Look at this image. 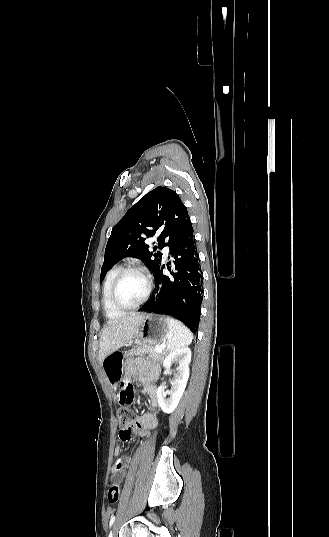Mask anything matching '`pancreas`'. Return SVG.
Instances as JSON below:
<instances>
[{
  "label": "pancreas",
  "mask_w": 329,
  "mask_h": 537,
  "mask_svg": "<svg viewBox=\"0 0 329 537\" xmlns=\"http://www.w3.org/2000/svg\"><path fill=\"white\" fill-rule=\"evenodd\" d=\"M166 354L167 351L163 350L162 352L158 353L156 351V347L150 345H142L139 347H135L129 350L127 353V355L130 357L134 355H148L147 359L155 362H162Z\"/></svg>",
  "instance_id": "obj_1"
}]
</instances>
